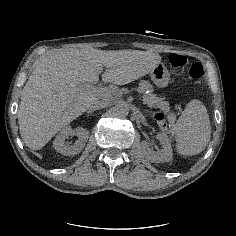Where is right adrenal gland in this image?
<instances>
[{
    "instance_id": "obj_1",
    "label": "right adrenal gland",
    "mask_w": 236,
    "mask_h": 236,
    "mask_svg": "<svg viewBox=\"0 0 236 236\" xmlns=\"http://www.w3.org/2000/svg\"><path fill=\"white\" fill-rule=\"evenodd\" d=\"M92 114H93V111L89 110L88 115H92Z\"/></svg>"
}]
</instances>
